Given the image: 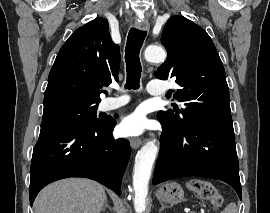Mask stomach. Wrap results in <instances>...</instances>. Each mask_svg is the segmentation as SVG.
Masks as SVG:
<instances>
[{
    "label": "stomach",
    "instance_id": "0dacf381",
    "mask_svg": "<svg viewBox=\"0 0 270 213\" xmlns=\"http://www.w3.org/2000/svg\"><path fill=\"white\" fill-rule=\"evenodd\" d=\"M161 202L177 204L184 198L182 187L176 182H169L159 187L156 194Z\"/></svg>",
    "mask_w": 270,
    "mask_h": 213
}]
</instances>
